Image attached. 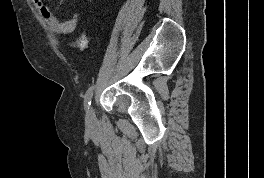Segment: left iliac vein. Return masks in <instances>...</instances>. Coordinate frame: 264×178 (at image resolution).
I'll return each instance as SVG.
<instances>
[{
    "mask_svg": "<svg viewBox=\"0 0 264 178\" xmlns=\"http://www.w3.org/2000/svg\"><path fill=\"white\" fill-rule=\"evenodd\" d=\"M95 121V113L92 106H90L86 112V122L91 125Z\"/></svg>",
    "mask_w": 264,
    "mask_h": 178,
    "instance_id": "4c4485c4",
    "label": "left iliac vein"
}]
</instances>
